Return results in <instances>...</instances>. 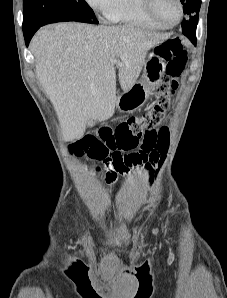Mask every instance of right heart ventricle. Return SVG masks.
I'll return each mask as SVG.
<instances>
[{"mask_svg": "<svg viewBox=\"0 0 227 298\" xmlns=\"http://www.w3.org/2000/svg\"><path fill=\"white\" fill-rule=\"evenodd\" d=\"M103 13L109 21L124 26L153 30L163 28L147 16L143 0H112Z\"/></svg>", "mask_w": 227, "mask_h": 298, "instance_id": "right-heart-ventricle-1", "label": "right heart ventricle"}]
</instances>
